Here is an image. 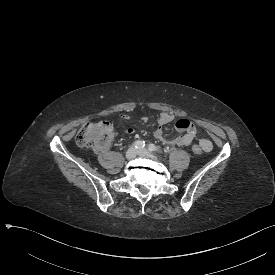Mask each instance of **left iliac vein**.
Segmentation results:
<instances>
[{
    "label": "left iliac vein",
    "instance_id": "obj_1",
    "mask_svg": "<svg viewBox=\"0 0 275 275\" xmlns=\"http://www.w3.org/2000/svg\"><path fill=\"white\" fill-rule=\"evenodd\" d=\"M138 154L141 156H147V157H152L153 154L149 152L147 149H139Z\"/></svg>",
    "mask_w": 275,
    "mask_h": 275
}]
</instances>
